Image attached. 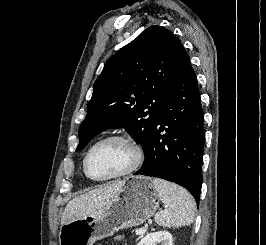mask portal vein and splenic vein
<instances>
[{
	"mask_svg": "<svg viewBox=\"0 0 266 245\" xmlns=\"http://www.w3.org/2000/svg\"><path fill=\"white\" fill-rule=\"evenodd\" d=\"M144 233H146L144 229H139V231H135V235H144Z\"/></svg>",
	"mask_w": 266,
	"mask_h": 245,
	"instance_id": "1",
	"label": "portal vein and splenic vein"
}]
</instances>
